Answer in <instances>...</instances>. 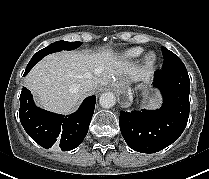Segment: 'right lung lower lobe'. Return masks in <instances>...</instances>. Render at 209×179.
Masks as SVG:
<instances>
[{
    "label": "right lung lower lobe",
    "mask_w": 209,
    "mask_h": 179,
    "mask_svg": "<svg viewBox=\"0 0 209 179\" xmlns=\"http://www.w3.org/2000/svg\"><path fill=\"white\" fill-rule=\"evenodd\" d=\"M34 65V62L27 65L24 76ZM95 102V96L87 97L75 113L58 115L38 108L31 92L23 87L19 117L27 134L40 146L45 149L59 146L62 151H69L84 140L94 113Z\"/></svg>",
    "instance_id": "obj_1"
}]
</instances>
